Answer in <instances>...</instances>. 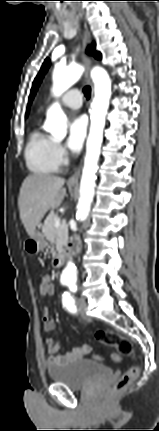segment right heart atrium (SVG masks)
I'll list each match as a JSON object with an SVG mask.
<instances>
[{"label": "right heart atrium", "mask_w": 159, "mask_h": 431, "mask_svg": "<svg viewBox=\"0 0 159 431\" xmlns=\"http://www.w3.org/2000/svg\"><path fill=\"white\" fill-rule=\"evenodd\" d=\"M54 155L59 165L66 162L67 154L64 147L60 143H54Z\"/></svg>", "instance_id": "obj_1"}]
</instances>
